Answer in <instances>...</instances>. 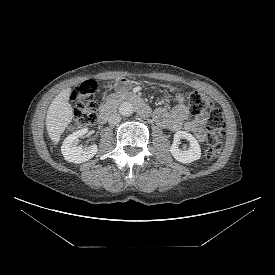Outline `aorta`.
<instances>
[{
    "label": "aorta",
    "mask_w": 275,
    "mask_h": 275,
    "mask_svg": "<svg viewBox=\"0 0 275 275\" xmlns=\"http://www.w3.org/2000/svg\"><path fill=\"white\" fill-rule=\"evenodd\" d=\"M134 112V106L130 102H123L119 106V113L122 116L129 117Z\"/></svg>",
    "instance_id": "1"
}]
</instances>
